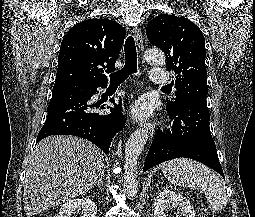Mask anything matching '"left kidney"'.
Here are the masks:
<instances>
[{"instance_id":"left-kidney-1","label":"left kidney","mask_w":255,"mask_h":217,"mask_svg":"<svg viewBox=\"0 0 255 217\" xmlns=\"http://www.w3.org/2000/svg\"><path fill=\"white\" fill-rule=\"evenodd\" d=\"M172 208H177L184 217H195V211L189 200L183 195L164 189L155 199L154 217H167L166 213Z\"/></svg>"}]
</instances>
